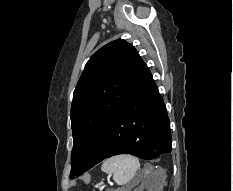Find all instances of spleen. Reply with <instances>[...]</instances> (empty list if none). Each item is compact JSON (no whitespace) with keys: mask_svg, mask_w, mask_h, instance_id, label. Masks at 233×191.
Wrapping results in <instances>:
<instances>
[{"mask_svg":"<svg viewBox=\"0 0 233 191\" xmlns=\"http://www.w3.org/2000/svg\"><path fill=\"white\" fill-rule=\"evenodd\" d=\"M139 168L140 163L138 158L132 155L123 154L107 159L102 164L101 170L109 175H112L113 180L119 186H123L134 178Z\"/></svg>","mask_w":233,"mask_h":191,"instance_id":"spleen-1","label":"spleen"}]
</instances>
